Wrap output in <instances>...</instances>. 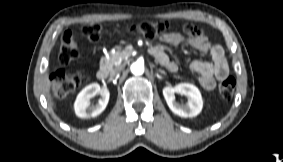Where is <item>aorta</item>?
<instances>
[{"instance_id":"762f6f07","label":"aorta","mask_w":283,"mask_h":162,"mask_svg":"<svg viewBox=\"0 0 283 162\" xmlns=\"http://www.w3.org/2000/svg\"><path fill=\"white\" fill-rule=\"evenodd\" d=\"M130 69L134 75H142L144 73V64L141 61H136L131 65Z\"/></svg>"}]
</instances>
